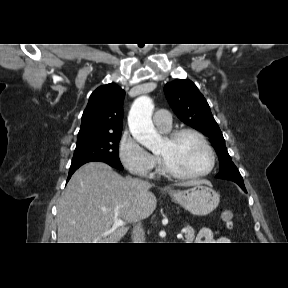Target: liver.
Here are the masks:
<instances>
[{
    "instance_id": "6515ba94",
    "label": "liver",
    "mask_w": 288,
    "mask_h": 288,
    "mask_svg": "<svg viewBox=\"0 0 288 288\" xmlns=\"http://www.w3.org/2000/svg\"><path fill=\"white\" fill-rule=\"evenodd\" d=\"M198 183L208 184L177 185ZM151 187L140 179L123 178L106 163H86L72 175L59 201L58 243H117L129 228L114 226L116 219L136 226L156 209Z\"/></svg>"
}]
</instances>
